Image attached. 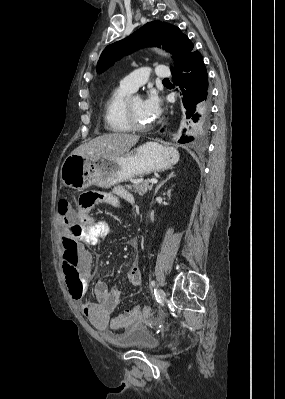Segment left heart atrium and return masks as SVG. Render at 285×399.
<instances>
[{
  "mask_svg": "<svg viewBox=\"0 0 285 399\" xmlns=\"http://www.w3.org/2000/svg\"><path fill=\"white\" fill-rule=\"evenodd\" d=\"M142 110L149 121H153L161 114V100L156 93L151 92L142 100Z\"/></svg>",
  "mask_w": 285,
  "mask_h": 399,
  "instance_id": "obj_1",
  "label": "left heart atrium"
}]
</instances>
